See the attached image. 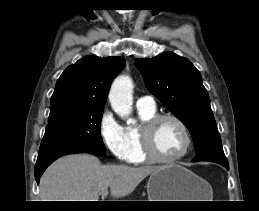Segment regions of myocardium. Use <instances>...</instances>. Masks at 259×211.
<instances>
[{"mask_svg":"<svg viewBox=\"0 0 259 211\" xmlns=\"http://www.w3.org/2000/svg\"><path fill=\"white\" fill-rule=\"evenodd\" d=\"M164 120L174 121L181 128L185 137V146L183 150L179 154L171 158L159 156L155 152L153 145L154 130ZM140 141L143 154L145 155L148 161L166 164L177 162L183 157H185L192 146V136L187 125L181 118L170 113L156 114L155 116L145 120L140 126Z\"/></svg>","mask_w":259,"mask_h":211,"instance_id":"1","label":"myocardium"}]
</instances>
